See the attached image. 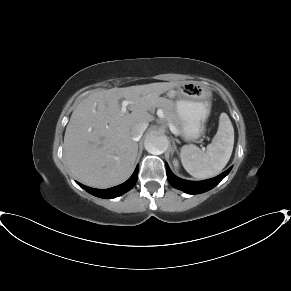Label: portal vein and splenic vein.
<instances>
[{"label":"portal vein and splenic vein","mask_w":291,"mask_h":291,"mask_svg":"<svg viewBox=\"0 0 291 291\" xmlns=\"http://www.w3.org/2000/svg\"><path fill=\"white\" fill-rule=\"evenodd\" d=\"M133 102L132 101H128V100H124V101H122V107H121V113H126V111H127V106L129 105V104H132ZM157 115H158V117L160 118V119H164L165 117H164V114H163V112L160 110V111H158V113H157ZM168 124V126H169V128H170V130H171V132L173 133V134H178L179 132H178V130L176 129V127L172 124V123H170V122H168L167 123ZM203 150H204V148H203Z\"/></svg>","instance_id":"portal-vein-and-splenic-vein-1"}]
</instances>
